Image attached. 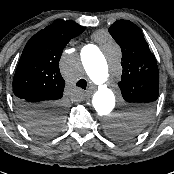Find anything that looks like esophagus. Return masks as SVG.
<instances>
[{
    "instance_id": "obj_1",
    "label": "esophagus",
    "mask_w": 174,
    "mask_h": 174,
    "mask_svg": "<svg viewBox=\"0 0 174 174\" xmlns=\"http://www.w3.org/2000/svg\"><path fill=\"white\" fill-rule=\"evenodd\" d=\"M90 96H91V92L90 91H87L86 97L89 98Z\"/></svg>"
}]
</instances>
